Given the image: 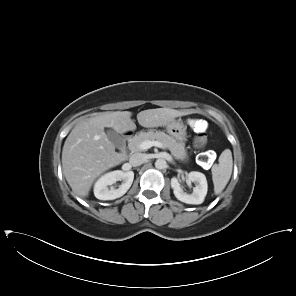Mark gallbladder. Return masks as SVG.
Listing matches in <instances>:
<instances>
[{
	"mask_svg": "<svg viewBox=\"0 0 296 296\" xmlns=\"http://www.w3.org/2000/svg\"><path fill=\"white\" fill-rule=\"evenodd\" d=\"M108 138L114 143L116 147H122L125 144L124 139L115 131L108 130L107 131Z\"/></svg>",
	"mask_w": 296,
	"mask_h": 296,
	"instance_id": "1",
	"label": "gallbladder"
}]
</instances>
